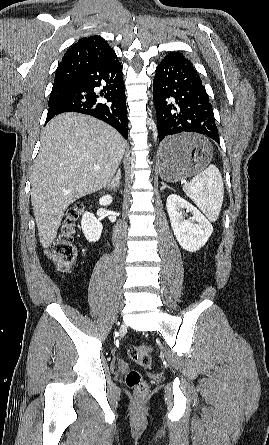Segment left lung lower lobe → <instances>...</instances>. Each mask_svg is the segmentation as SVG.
I'll use <instances>...</instances> for the list:
<instances>
[{
	"label": "left lung lower lobe",
	"mask_w": 269,
	"mask_h": 445,
	"mask_svg": "<svg viewBox=\"0 0 269 445\" xmlns=\"http://www.w3.org/2000/svg\"><path fill=\"white\" fill-rule=\"evenodd\" d=\"M153 99L158 120V137L166 156L177 154L181 146L164 143L168 136L194 132L219 142L218 129L209 97L190 60L171 52L156 68ZM164 143V144H163Z\"/></svg>",
	"instance_id": "0a47b994"
}]
</instances>
